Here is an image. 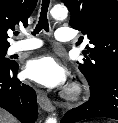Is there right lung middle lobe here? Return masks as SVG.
Masks as SVG:
<instances>
[{
	"label": "right lung middle lobe",
	"mask_w": 118,
	"mask_h": 123,
	"mask_svg": "<svg viewBox=\"0 0 118 123\" xmlns=\"http://www.w3.org/2000/svg\"><path fill=\"white\" fill-rule=\"evenodd\" d=\"M7 50H0V66H8L11 61L5 57Z\"/></svg>",
	"instance_id": "obj_1"
}]
</instances>
